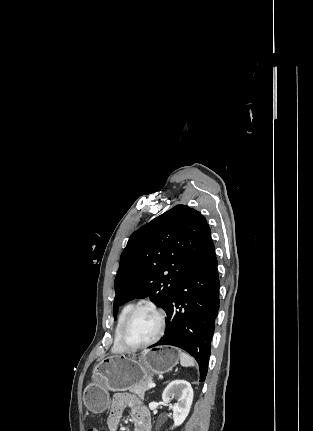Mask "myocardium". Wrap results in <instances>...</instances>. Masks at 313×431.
Instances as JSON below:
<instances>
[{"mask_svg":"<svg viewBox=\"0 0 313 431\" xmlns=\"http://www.w3.org/2000/svg\"><path fill=\"white\" fill-rule=\"evenodd\" d=\"M142 309H150L156 313L159 319V329L157 334L148 342L140 345H131L126 341L125 333L133 317L136 315L138 311ZM165 328H166V314L162 308L150 302L138 304L131 309V311L128 313L127 317L125 318L121 326L120 333H119L120 345L125 350H128V351H136V350L147 348L155 344L162 337V335L164 334Z\"/></svg>","mask_w":313,"mask_h":431,"instance_id":"f54148a6","label":"myocardium"}]
</instances>
